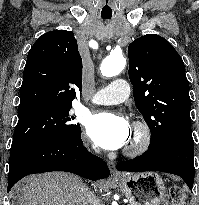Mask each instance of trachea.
<instances>
[{
    "mask_svg": "<svg viewBox=\"0 0 199 205\" xmlns=\"http://www.w3.org/2000/svg\"><path fill=\"white\" fill-rule=\"evenodd\" d=\"M103 20H107V19H110V17H102Z\"/></svg>",
    "mask_w": 199,
    "mask_h": 205,
    "instance_id": "obj_1",
    "label": "trachea"
}]
</instances>
